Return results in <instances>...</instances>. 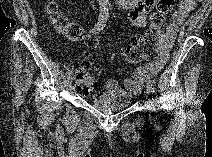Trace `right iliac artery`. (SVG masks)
Masks as SVG:
<instances>
[{
    "label": "right iliac artery",
    "instance_id": "1",
    "mask_svg": "<svg viewBox=\"0 0 212 157\" xmlns=\"http://www.w3.org/2000/svg\"><path fill=\"white\" fill-rule=\"evenodd\" d=\"M108 16L107 15H101L95 25L94 28L91 29L92 33H99L106 25ZM67 77H71L72 72L70 70L67 71L66 73Z\"/></svg>",
    "mask_w": 212,
    "mask_h": 157
}]
</instances>
